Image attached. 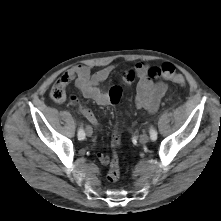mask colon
Wrapping results in <instances>:
<instances>
[{
    "label": "colon",
    "instance_id": "obj_1",
    "mask_svg": "<svg viewBox=\"0 0 221 221\" xmlns=\"http://www.w3.org/2000/svg\"><path fill=\"white\" fill-rule=\"evenodd\" d=\"M148 76L150 78H162L165 80H169L176 85L184 86L185 79L184 77L177 73L175 67L170 63H164L161 66H155L148 70ZM50 98L57 103H61L67 100L68 95L66 91L65 85L61 81H56L50 89ZM122 95V89L119 86H113L110 89V96L114 103H117ZM72 101L76 102L75 97L70 98ZM119 131H115V139L113 141V146L118 147L120 145V141L118 138ZM120 178V167L118 156L115 152L112 153L109 163V170L107 173V180L110 183H115Z\"/></svg>",
    "mask_w": 221,
    "mask_h": 221
}]
</instances>
